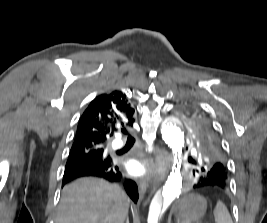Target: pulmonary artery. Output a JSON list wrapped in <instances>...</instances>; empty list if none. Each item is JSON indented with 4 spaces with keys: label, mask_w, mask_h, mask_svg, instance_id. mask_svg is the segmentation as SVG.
<instances>
[{
    "label": "pulmonary artery",
    "mask_w": 267,
    "mask_h": 223,
    "mask_svg": "<svg viewBox=\"0 0 267 223\" xmlns=\"http://www.w3.org/2000/svg\"><path fill=\"white\" fill-rule=\"evenodd\" d=\"M121 146H122V143H121V142H117V143H115V145H114L115 148H119V147H121Z\"/></svg>",
    "instance_id": "e3ab8cb5"
}]
</instances>
